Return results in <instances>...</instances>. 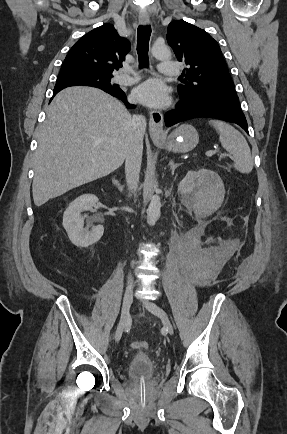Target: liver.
<instances>
[{"label":"liver","instance_id":"liver-1","mask_svg":"<svg viewBox=\"0 0 287 434\" xmlns=\"http://www.w3.org/2000/svg\"><path fill=\"white\" fill-rule=\"evenodd\" d=\"M46 113L34 162L37 207L118 169L133 136L125 106L96 88H66Z\"/></svg>","mask_w":287,"mask_h":434}]
</instances>
